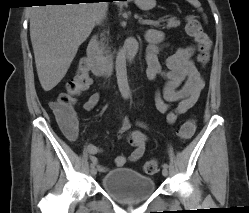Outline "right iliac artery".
<instances>
[{"label": "right iliac artery", "instance_id": "82829eb1", "mask_svg": "<svg viewBox=\"0 0 249 213\" xmlns=\"http://www.w3.org/2000/svg\"><path fill=\"white\" fill-rule=\"evenodd\" d=\"M95 164H96V162L95 161H92V163H91V167H94L95 166Z\"/></svg>", "mask_w": 249, "mask_h": 213}]
</instances>
